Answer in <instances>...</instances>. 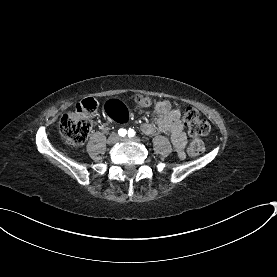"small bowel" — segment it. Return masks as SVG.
I'll use <instances>...</instances> for the list:
<instances>
[{
    "instance_id": "1",
    "label": "small bowel",
    "mask_w": 277,
    "mask_h": 277,
    "mask_svg": "<svg viewBox=\"0 0 277 277\" xmlns=\"http://www.w3.org/2000/svg\"><path fill=\"white\" fill-rule=\"evenodd\" d=\"M153 111L157 115L156 124H143L141 126L142 132L146 135H153L156 130L170 133L171 141L177 155L183 158L185 156L186 134L184 132L180 110L169 101L162 100L155 103Z\"/></svg>"
}]
</instances>
